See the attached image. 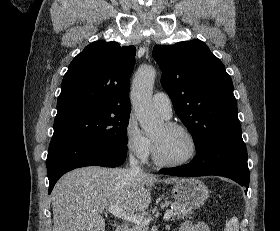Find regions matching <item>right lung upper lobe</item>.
Masks as SVG:
<instances>
[{
  "instance_id": "right-lung-upper-lobe-1",
  "label": "right lung upper lobe",
  "mask_w": 280,
  "mask_h": 231,
  "mask_svg": "<svg viewBox=\"0 0 280 231\" xmlns=\"http://www.w3.org/2000/svg\"><path fill=\"white\" fill-rule=\"evenodd\" d=\"M134 46L96 41L70 63L61 84L54 121L105 113H130L128 89Z\"/></svg>"
}]
</instances>
